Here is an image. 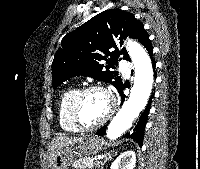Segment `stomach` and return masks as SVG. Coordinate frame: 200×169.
Wrapping results in <instances>:
<instances>
[{"label":"stomach","instance_id":"stomach-1","mask_svg":"<svg viewBox=\"0 0 200 169\" xmlns=\"http://www.w3.org/2000/svg\"><path fill=\"white\" fill-rule=\"evenodd\" d=\"M103 144L100 139L89 137L79 144L77 147L78 152L72 146L63 147L51 159L48 169H68L72 162L75 161L76 156H93L102 150Z\"/></svg>","mask_w":200,"mask_h":169}]
</instances>
